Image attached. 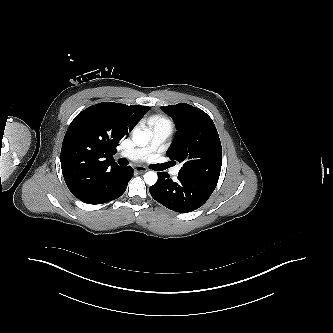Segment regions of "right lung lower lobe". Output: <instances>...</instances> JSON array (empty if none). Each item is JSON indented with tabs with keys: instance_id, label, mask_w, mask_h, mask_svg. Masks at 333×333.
<instances>
[{
	"instance_id": "obj_1",
	"label": "right lung lower lobe",
	"mask_w": 333,
	"mask_h": 333,
	"mask_svg": "<svg viewBox=\"0 0 333 333\" xmlns=\"http://www.w3.org/2000/svg\"><path fill=\"white\" fill-rule=\"evenodd\" d=\"M132 172L130 166H119L88 184L84 191L75 197L88 204H102L117 199L125 192Z\"/></svg>"
}]
</instances>
